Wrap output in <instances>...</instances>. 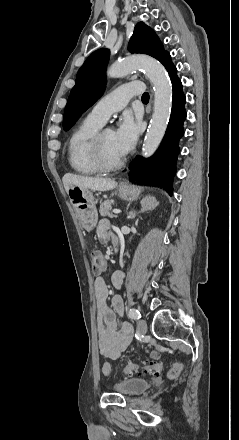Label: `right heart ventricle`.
Wrapping results in <instances>:
<instances>
[{"label": "right heart ventricle", "instance_id": "obj_1", "mask_svg": "<svg viewBox=\"0 0 239 440\" xmlns=\"http://www.w3.org/2000/svg\"><path fill=\"white\" fill-rule=\"evenodd\" d=\"M100 125L87 116L71 133L68 140L67 156L69 166L73 171L84 175H95L100 172L92 162L89 153L90 141Z\"/></svg>", "mask_w": 239, "mask_h": 440}]
</instances>
